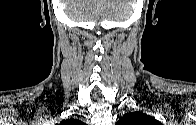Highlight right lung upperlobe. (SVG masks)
<instances>
[{
  "mask_svg": "<svg viewBox=\"0 0 196 125\" xmlns=\"http://www.w3.org/2000/svg\"><path fill=\"white\" fill-rule=\"evenodd\" d=\"M72 121H74V119L63 120V121H62V124H66V123H68V122H72Z\"/></svg>",
  "mask_w": 196,
  "mask_h": 125,
  "instance_id": "right-lung-upper-lobe-1",
  "label": "right lung upper lobe"
}]
</instances>
